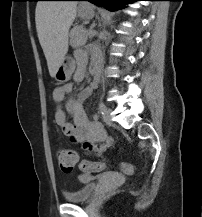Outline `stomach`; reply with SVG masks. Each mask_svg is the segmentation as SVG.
<instances>
[{"label": "stomach", "instance_id": "1", "mask_svg": "<svg viewBox=\"0 0 202 217\" xmlns=\"http://www.w3.org/2000/svg\"><path fill=\"white\" fill-rule=\"evenodd\" d=\"M80 17L84 19H90L94 16V11L92 7H80L78 10ZM75 69L74 62L70 59L64 58L60 66L58 67L54 78L59 83H64L70 80Z\"/></svg>", "mask_w": 202, "mask_h": 217}]
</instances>
